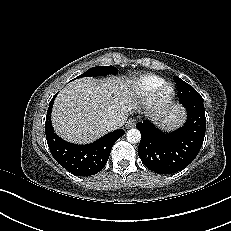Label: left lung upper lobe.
Wrapping results in <instances>:
<instances>
[{"label":"left lung upper lobe","mask_w":231,"mask_h":231,"mask_svg":"<svg viewBox=\"0 0 231 231\" xmlns=\"http://www.w3.org/2000/svg\"><path fill=\"white\" fill-rule=\"evenodd\" d=\"M174 81L177 85L178 97L180 101L203 100L201 95L188 83L175 76Z\"/></svg>","instance_id":"obj_1"}]
</instances>
